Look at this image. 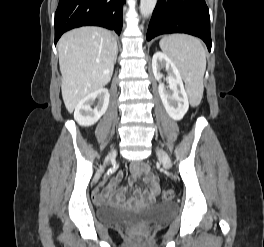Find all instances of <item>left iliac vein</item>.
<instances>
[{
    "label": "left iliac vein",
    "instance_id": "obj_1",
    "mask_svg": "<svg viewBox=\"0 0 264 247\" xmlns=\"http://www.w3.org/2000/svg\"><path fill=\"white\" fill-rule=\"evenodd\" d=\"M157 156L158 158L162 161L163 165L167 168H171L172 167V162L170 157L168 156V154L163 151L162 149L158 148L157 149Z\"/></svg>",
    "mask_w": 264,
    "mask_h": 247
}]
</instances>
